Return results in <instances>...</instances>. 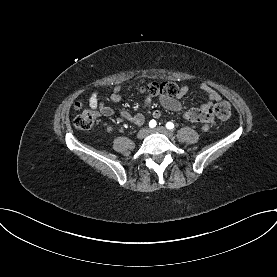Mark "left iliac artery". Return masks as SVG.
<instances>
[{"label":"left iliac artery","mask_w":277,"mask_h":277,"mask_svg":"<svg viewBox=\"0 0 277 277\" xmlns=\"http://www.w3.org/2000/svg\"><path fill=\"white\" fill-rule=\"evenodd\" d=\"M166 127H167L168 129H173V128H174V124H173L172 122H168V123L166 124Z\"/></svg>","instance_id":"44dca946"}]
</instances>
